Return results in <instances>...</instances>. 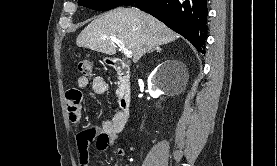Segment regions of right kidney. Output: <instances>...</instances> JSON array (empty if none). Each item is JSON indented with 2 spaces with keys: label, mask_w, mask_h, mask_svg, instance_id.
Listing matches in <instances>:
<instances>
[{
  "label": "right kidney",
  "mask_w": 277,
  "mask_h": 166,
  "mask_svg": "<svg viewBox=\"0 0 277 166\" xmlns=\"http://www.w3.org/2000/svg\"><path fill=\"white\" fill-rule=\"evenodd\" d=\"M162 65H159L155 71L151 73L148 78V89L149 94L153 98H158L161 94H163V79L161 74ZM165 78V77H164Z\"/></svg>",
  "instance_id": "right-kidney-1"
}]
</instances>
